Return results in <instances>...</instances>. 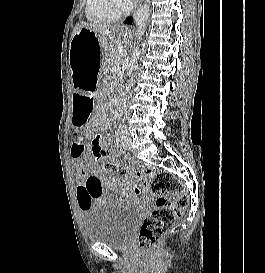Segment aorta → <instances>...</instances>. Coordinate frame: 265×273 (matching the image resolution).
Returning a JSON list of instances; mask_svg holds the SVG:
<instances>
[{
    "label": "aorta",
    "mask_w": 265,
    "mask_h": 273,
    "mask_svg": "<svg viewBox=\"0 0 265 273\" xmlns=\"http://www.w3.org/2000/svg\"><path fill=\"white\" fill-rule=\"evenodd\" d=\"M150 16V6L148 4L141 5L135 14L134 20L136 24V42L134 44V49L128 64V71L130 73L136 68L137 60L140 55L139 47L136 45L145 33L146 25Z\"/></svg>",
    "instance_id": "1"
}]
</instances>
